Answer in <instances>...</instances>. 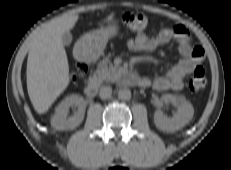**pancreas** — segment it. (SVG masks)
Instances as JSON below:
<instances>
[{"label": "pancreas", "mask_w": 231, "mask_h": 170, "mask_svg": "<svg viewBox=\"0 0 231 170\" xmlns=\"http://www.w3.org/2000/svg\"><path fill=\"white\" fill-rule=\"evenodd\" d=\"M117 77V67L112 64H101L94 72V78L99 81H114Z\"/></svg>", "instance_id": "cf45deb5"}]
</instances>
